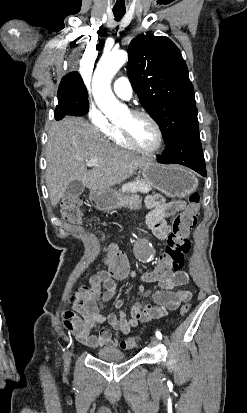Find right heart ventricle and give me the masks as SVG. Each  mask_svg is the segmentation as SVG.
<instances>
[{
    "label": "right heart ventricle",
    "mask_w": 247,
    "mask_h": 413,
    "mask_svg": "<svg viewBox=\"0 0 247 413\" xmlns=\"http://www.w3.org/2000/svg\"><path fill=\"white\" fill-rule=\"evenodd\" d=\"M108 138L113 141L114 145H118V151L122 152H131L135 151L132 147H130L123 139L119 128L112 129L109 133H107Z\"/></svg>",
    "instance_id": "1"
}]
</instances>
